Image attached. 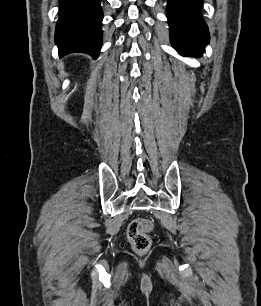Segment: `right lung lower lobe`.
Instances as JSON below:
<instances>
[{"instance_id": "right-lung-lower-lobe-1", "label": "right lung lower lobe", "mask_w": 261, "mask_h": 306, "mask_svg": "<svg viewBox=\"0 0 261 306\" xmlns=\"http://www.w3.org/2000/svg\"><path fill=\"white\" fill-rule=\"evenodd\" d=\"M55 42L60 56L82 52L97 58L102 44L103 12L99 0H59Z\"/></svg>"}]
</instances>
